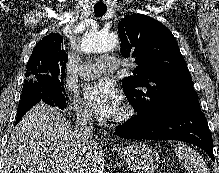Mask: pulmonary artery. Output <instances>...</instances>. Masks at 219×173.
Masks as SVG:
<instances>
[{"label":"pulmonary artery","instance_id":"obj_1","mask_svg":"<svg viewBox=\"0 0 219 173\" xmlns=\"http://www.w3.org/2000/svg\"><path fill=\"white\" fill-rule=\"evenodd\" d=\"M120 62L115 56H102L95 62L80 65L78 74L83 79H93L102 72H112L119 68Z\"/></svg>","mask_w":219,"mask_h":173}]
</instances>
